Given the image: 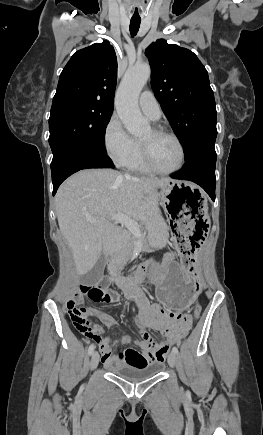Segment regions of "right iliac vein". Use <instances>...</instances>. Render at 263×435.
<instances>
[{
  "label": "right iliac vein",
  "mask_w": 263,
  "mask_h": 435,
  "mask_svg": "<svg viewBox=\"0 0 263 435\" xmlns=\"http://www.w3.org/2000/svg\"><path fill=\"white\" fill-rule=\"evenodd\" d=\"M99 358L100 357H99V354L97 351L92 353L91 360H90V369L91 370L96 369V367L98 366V363H99Z\"/></svg>",
  "instance_id": "63e3f726"
}]
</instances>
